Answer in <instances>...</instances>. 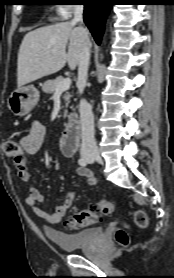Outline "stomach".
<instances>
[{"label": "stomach", "instance_id": "obj_1", "mask_svg": "<svg viewBox=\"0 0 174 278\" xmlns=\"http://www.w3.org/2000/svg\"><path fill=\"white\" fill-rule=\"evenodd\" d=\"M39 97L33 85L18 87L8 97L7 106L15 116H25L37 105Z\"/></svg>", "mask_w": 174, "mask_h": 278}]
</instances>
